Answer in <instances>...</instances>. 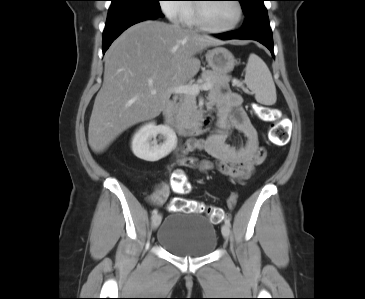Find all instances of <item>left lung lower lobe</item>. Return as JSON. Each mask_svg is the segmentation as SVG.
I'll return each instance as SVG.
<instances>
[{"label":"left lung lower lobe","instance_id":"left-lung-lower-lobe-1","mask_svg":"<svg viewBox=\"0 0 365 299\" xmlns=\"http://www.w3.org/2000/svg\"><path fill=\"white\" fill-rule=\"evenodd\" d=\"M220 39L256 40L266 46L273 54V38L265 7L257 9L246 16L244 26L239 31H230L216 35Z\"/></svg>","mask_w":365,"mask_h":299}]
</instances>
